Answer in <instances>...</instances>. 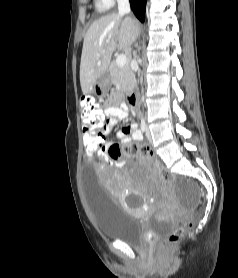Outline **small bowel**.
Returning a JSON list of instances; mask_svg holds the SVG:
<instances>
[{
    "instance_id": "c3829d8e",
    "label": "small bowel",
    "mask_w": 238,
    "mask_h": 278,
    "mask_svg": "<svg viewBox=\"0 0 238 278\" xmlns=\"http://www.w3.org/2000/svg\"><path fill=\"white\" fill-rule=\"evenodd\" d=\"M103 116V151L99 153V157L104 161H109L108 150L111 145L117 144L120 148L129 144L132 140L141 141L142 133L135 124H127L116 133L118 143H109L105 139V134L108 130L106 122L115 123L117 121L126 120L128 117V110L125 104L117 103L114 99L102 112Z\"/></svg>"
}]
</instances>
